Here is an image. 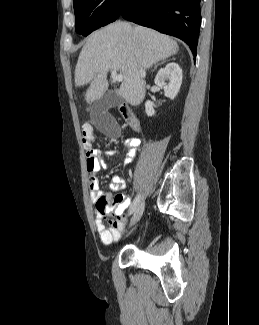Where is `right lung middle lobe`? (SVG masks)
<instances>
[{"label":"right lung middle lobe","instance_id":"right-lung-middle-lobe-1","mask_svg":"<svg viewBox=\"0 0 259 325\" xmlns=\"http://www.w3.org/2000/svg\"><path fill=\"white\" fill-rule=\"evenodd\" d=\"M126 0H73L76 32L87 36L115 21Z\"/></svg>","mask_w":259,"mask_h":325}]
</instances>
